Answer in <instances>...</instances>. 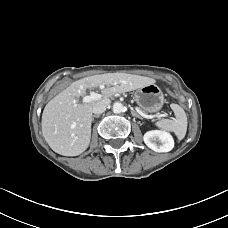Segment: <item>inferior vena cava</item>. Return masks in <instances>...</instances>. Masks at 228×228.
Listing matches in <instances>:
<instances>
[{"instance_id":"inferior-vena-cava-1","label":"inferior vena cava","mask_w":228,"mask_h":228,"mask_svg":"<svg viewBox=\"0 0 228 228\" xmlns=\"http://www.w3.org/2000/svg\"><path fill=\"white\" fill-rule=\"evenodd\" d=\"M110 102H107V101H99L97 102L93 109H92V112L94 114H101L103 113L104 111H106V108L107 106L109 105Z\"/></svg>"}]
</instances>
